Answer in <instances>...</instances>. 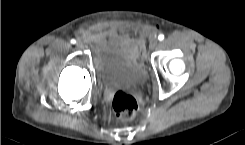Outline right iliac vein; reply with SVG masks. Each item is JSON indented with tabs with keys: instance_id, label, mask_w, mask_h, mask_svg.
I'll list each match as a JSON object with an SVG mask.
<instances>
[{
	"instance_id": "63e3f726",
	"label": "right iliac vein",
	"mask_w": 245,
	"mask_h": 145,
	"mask_svg": "<svg viewBox=\"0 0 245 145\" xmlns=\"http://www.w3.org/2000/svg\"><path fill=\"white\" fill-rule=\"evenodd\" d=\"M76 47L79 48V49H83V48H84V43L81 42V41H78V42L76 43Z\"/></svg>"
}]
</instances>
